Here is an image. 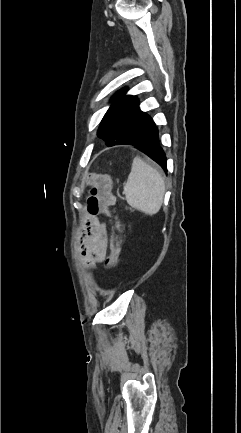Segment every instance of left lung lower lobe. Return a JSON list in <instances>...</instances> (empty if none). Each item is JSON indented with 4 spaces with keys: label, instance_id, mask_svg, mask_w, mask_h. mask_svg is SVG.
Returning <instances> with one entry per match:
<instances>
[{
    "label": "left lung lower lobe",
    "instance_id": "0a47b994",
    "mask_svg": "<svg viewBox=\"0 0 241 433\" xmlns=\"http://www.w3.org/2000/svg\"><path fill=\"white\" fill-rule=\"evenodd\" d=\"M126 144L133 145L138 148L140 151L157 162L164 169V171L167 172L166 156L160 146L158 129L155 124L145 134L128 141Z\"/></svg>",
    "mask_w": 241,
    "mask_h": 433
}]
</instances>
